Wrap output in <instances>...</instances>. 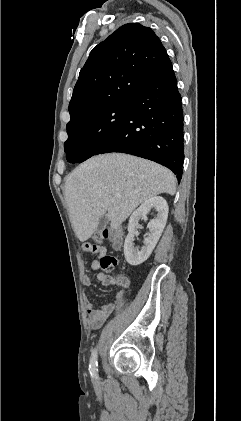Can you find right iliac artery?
I'll return each instance as SVG.
<instances>
[{
	"label": "right iliac artery",
	"mask_w": 241,
	"mask_h": 421,
	"mask_svg": "<svg viewBox=\"0 0 241 421\" xmlns=\"http://www.w3.org/2000/svg\"><path fill=\"white\" fill-rule=\"evenodd\" d=\"M98 363H97V349H94L90 358L89 371L91 376L94 378L98 373Z\"/></svg>",
	"instance_id": "right-iliac-artery-1"
}]
</instances>
